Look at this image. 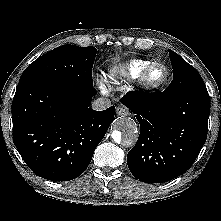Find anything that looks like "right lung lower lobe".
<instances>
[{"mask_svg": "<svg viewBox=\"0 0 221 221\" xmlns=\"http://www.w3.org/2000/svg\"><path fill=\"white\" fill-rule=\"evenodd\" d=\"M93 86L20 80L12 102L13 141L28 167L51 181L77 178L114 119L115 106L89 108Z\"/></svg>", "mask_w": 221, "mask_h": 221, "instance_id": "98d812e1", "label": "right lung lower lobe"}]
</instances>
